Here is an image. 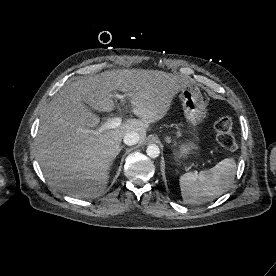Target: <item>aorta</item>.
I'll return each mask as SVG.
<instances>
[{"label": "aorta", "instance_id": "762f6f07", "mask_svg": "<svg viewBox=\"0 0 276 276\" xmlns=\"http://www.w3.org/2000/svg\"><path fill=\"white\" fill-rule=\"evenodd\" d=\"M146 153L151 158H157L160 154V149L156 144H150L146 149Z\"/></svg>", "mask_w": 276, "mask_h": 276}]
</instances>
